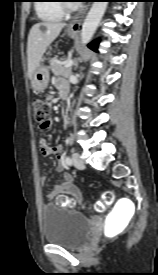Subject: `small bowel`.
<instances>
[{
    "label": "small bowel",
    "mask_w": 158,
    "mask_h": 275,
    "mask_svg": "<svg viewBox=\"0 0 158 275\" xmlns=\"http://www.w3.org/2000/svg\"><path fill=\"white\" fill-rule=\"evenodd\" d=\"M56 86L59 90H61L64 87H68V84L65 80L63 79H58L56 81ZM52 124V121L49 119L47 120V127H50ZM39 148L40 152L43 156H54L58 163L56 165V170L58 172H62L64 170V164L62 161V147L60 145L57 146H50L45 139H40L39 140ZM47 181L46 176H40L39 178V183L40 185H45ZM61 194H68L73 197V199L81 203L82 202V197L77 189V187L73 184L72 182V177L70 174L66 173L63 176V181L60 184L55 185L53 188L48 190L46 192V196L50 199L55 198Z\"/></svg>",
    "instance_id": "c3829d8e"
}]
</instances>
